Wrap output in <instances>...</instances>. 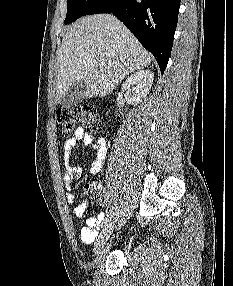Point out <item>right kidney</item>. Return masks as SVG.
Segmentation results:
<instances>
[{"label": "right kidney", "instance_id": "ca27d5eb", "mask_svg": "<svg viewBox=\"0 0 233 286\" xmlns=\"http://www.w3.org/2000/svg\"><path fill=\"white\" fill-rule=\"evenodd\" d=\"M154 75L148 70H140L128 77L122 84V93L128 104L137 105L145 98L152 86Z\"/></svg>", "mask_w": 233, "mask_h": 286}]
</instances>
